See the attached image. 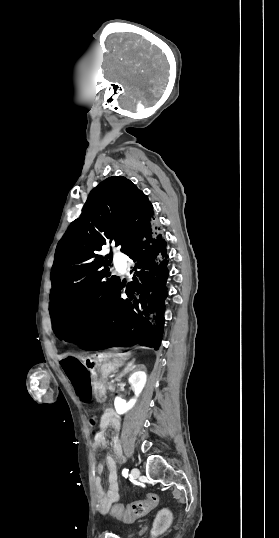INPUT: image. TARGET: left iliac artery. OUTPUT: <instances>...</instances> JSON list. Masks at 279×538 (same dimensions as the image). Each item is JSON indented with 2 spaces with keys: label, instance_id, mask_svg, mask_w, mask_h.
Segmentation results:
<instances>
[{
  "label": "left iliac artery",
  "instance_id": "left-iliac-artery-1",
  "mask_svg": "<svg viewBox=\"0 0 279 538\" xmlns=\"http://www.w3.org/2000/svg\"><path fill=\"white\" fill-rule=\"evenodd\" d=\"M122 475L126 478L128 476V469H123Z\"/></svg>",
  "mask_w": 279,
  "mask_h": 538
}]
</instances>
